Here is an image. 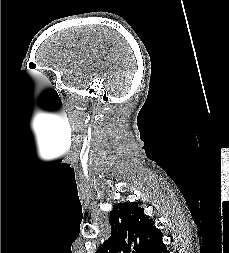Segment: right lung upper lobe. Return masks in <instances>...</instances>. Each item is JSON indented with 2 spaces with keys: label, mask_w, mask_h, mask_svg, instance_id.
<instances>
[{
  "label": "right lung upper lobe",
  "mask_w": 229,
  "mask_h": 253,
  "mask_svg": "<svg viewBox=\"0 0 229 253\" xmlns=\"http://www.w3.org/2000/svg\"><path fill=\"white\" fill-rule=\"evenodd\" d=\"M111 236L96 253H150L162 233L135 202L118 203L110 213Z\"/></svg>",
  "instance_id": "right-lung-upper-lobe-1"
}]
</instances>
